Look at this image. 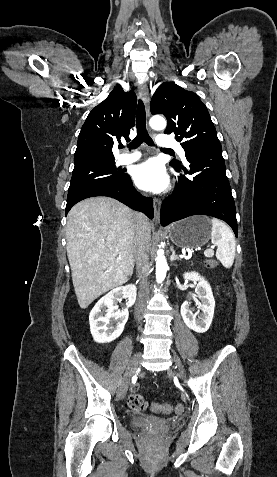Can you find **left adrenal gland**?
I'll use <instances>...</instances> for the list:
<instances>
[{
  "label": "left adrenal gland",
  "mask_w": 277,
  "mask_h": 477,
  "mask_svg": "<svg viewBox=\"0 0 277 477\" xmlns=\"http://www.w3.org/2000/svg\"><path fill=\"white\" fill-rule=\"evenodd\" d=\"M172 254L170 256V261L173 262L175 260H181L176 254L173 248H171Z\"/></svg>",
  "instance_id": "a2214340"
}]
</instances>
